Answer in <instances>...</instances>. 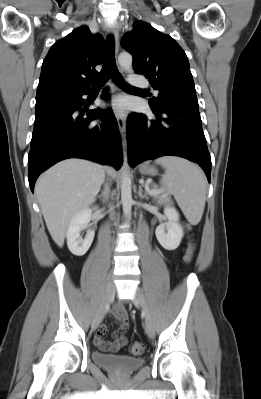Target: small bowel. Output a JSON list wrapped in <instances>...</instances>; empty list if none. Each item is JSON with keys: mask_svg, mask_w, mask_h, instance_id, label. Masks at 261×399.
Here are the masks:
<instances>
[{"mask_svg": "<svg viewBox=\"0 0 261 399\" xmlns=\"http://www.w3.org/2000/svg\"><path fill=\"white\" fill-rule=\"evenodd\" d=\"M113 315L119 323L117 331L113 335V341L104 340L107 328L104 324L100 325L94 338V344L102 351L113 352L125 347L128 339L125 332L129 327L128 317L121 306H116L113 310Z\"/></svg>", "mask_w": 261, "mask_h": 399, "instance_id": "obj_1", "label": "small bowel"}]
</instances>
